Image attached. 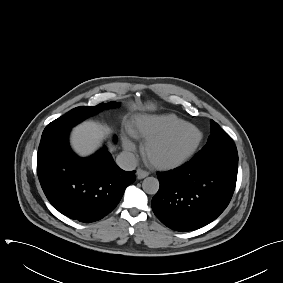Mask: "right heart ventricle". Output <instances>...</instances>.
Returning <instances> with one entry per match:
<instances>
[{"label":"right heart ventricle","instance_id":"e07e8e85","mask_svg":"<svg viewBox=\"0 0 283 283\" xmlns=\"http://www.w3.org/2000/svg\"><path fill=\"white\" fill-rule=\"evenodd\" d=\"M181 122L184 121L174 114L142 115L128 125V132L133 138L146 141Z\"/></svg>","mask_w":283,"mask_h":283}]
</instances>
